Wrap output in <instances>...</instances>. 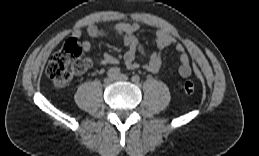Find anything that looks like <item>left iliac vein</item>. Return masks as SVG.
Listing matches in <instances>:
<instances>
[{"label":"left iliac vein","instance_id":"left-iliac-vein-1","mask_svg":"<svg viewBox=\"0 0 259 156\" xmlns=\"http://www.w3.org/2000/svg\"><path fill=\"white\" fill-rule=\"evenodd\" d=\"M115 79L116 80H121V81H126V80H128V76L125 75V74H120V75L116 76Z\"/></svg>","mask_w":259,"mask_h":156}]
</instances>
